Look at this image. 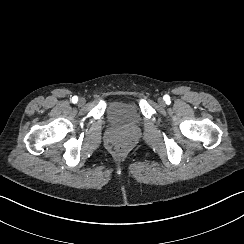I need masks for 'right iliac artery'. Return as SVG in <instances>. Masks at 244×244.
<instances>
[{"label":"right iliac artery","mask_w":244,"mask_h":244,"mask_svg":"<svg viewBox=\"0 0 244 244\" xmlns=\"http://www.w3.org/2000/svg\"><path fill=\"white\" fill-rule=\"evenodd\" d=\"M77 101H78V97H77V96H74V97L72 98V102H73V103H77Z\"/></svg>","instance_id":"82829eb1"}]
</instances>
